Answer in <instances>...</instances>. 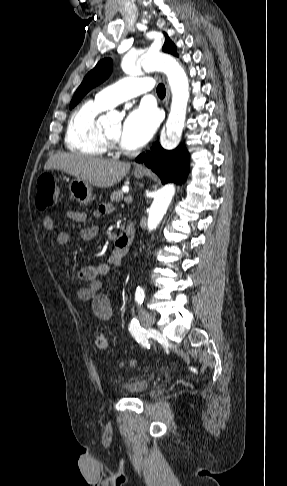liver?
I'll use <instances>...</instances> for the list:
<instances>
[{
	"mask_svg": "<svg viewBox=\"0 0 287 486\" xmlns=\"http://www.w3.org/2000/svg\"><path fill=\"white\" fill-rule=\"evenodd\" d=\"M130 167L128 162L88 157L78 153H58L47 160L44 170H61L76 179L106 188L120 182Z\"/></svg>",
	"mask_w": 287,
	"mask_h": 486,
	"instance_id": "1",
	"label": "liver"
}]
</instances>
